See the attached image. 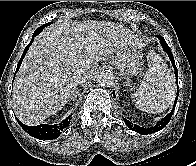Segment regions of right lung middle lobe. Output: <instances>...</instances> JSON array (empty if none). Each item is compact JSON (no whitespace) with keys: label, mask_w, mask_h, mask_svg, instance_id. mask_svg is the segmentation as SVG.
Returning <instances> with one entry per match:
<instances>
[{"label":"right lung middle lobe","mask_w":196,"mask_h":166,"mask_svg":"<svg viewBox=\"0 0 196 166\" xmlns=\"http://www.w3.org/2000/svg\"><path fill=\"white\" fill-rule=\"evenodd\" d=\"M50 24H51L50 22L49 23H46V24L42 25L41 27H39L38 29L43 30L46 26H48Z\"/></svg>","instance_id":"right-lung-middle-lobe-1"}]
</instances>
